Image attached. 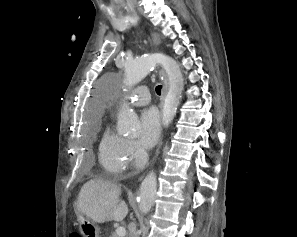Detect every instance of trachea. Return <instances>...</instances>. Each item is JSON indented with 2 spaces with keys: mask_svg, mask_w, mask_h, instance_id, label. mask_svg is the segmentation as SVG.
<instances>
[{
  "mask_svg": "<svg viewBox=\"0 0 297 237\" xmlns=\"http://www.w3.org/2000/svg\"><path fill=\"white\" fill-rule=\"evenodd\" d=\"M161 89H162V85H158L157 87H156V93L158 94V95H160L161 94Z\"/></svg>",
  "mask_w": 297,
  "mask_h": 237,
  "instance_id": "obj_1",
  "label": "trachea"
}]
</instances>
